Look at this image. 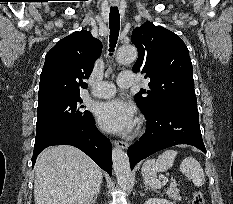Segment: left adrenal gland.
I'll list each match as a JSON object with an SVG mask.
<instances>
[{
    "mask_svg": "<svg viewBox=\"0 0 233 204\" xmlns=\"http://www.w3.org/2000/svg\"><path fill=\"white\" fill-rule=\"evenodd\" d=\"M145 187H146V190H148L149 188H148V186L145 184Z\"/></svg>",
    "mask_w": 233,
    "mask_h": 204,
    "instance_id": "left-adrenal-gland-1",
    "label": "left adrenal gland"
}]
</instances>
